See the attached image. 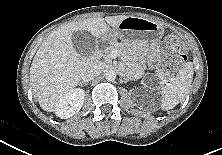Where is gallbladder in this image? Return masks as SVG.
<instances>
[{"instance_id": "1", "label": "gallbladder", "mask_w": 222, "mask_h": 155, "mask_svg": "<svg viewBox=\"0 0 222 155\" xmlns=\"http://www.w3.org/2000/svg\"><path fill=\"white\" fill-rule=\"evenodd\" d=\"M75 50L84 57H89L95 50V38L87 31L78 30L72 34Z\"/></svg>"}]
</instances>
